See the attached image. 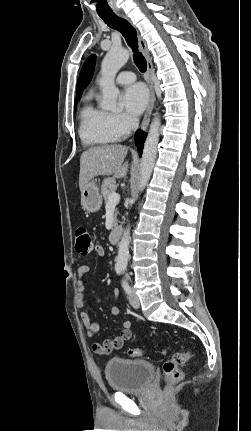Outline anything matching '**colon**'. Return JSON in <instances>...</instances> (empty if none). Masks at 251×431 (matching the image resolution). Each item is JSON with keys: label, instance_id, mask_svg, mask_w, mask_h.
I'll use <instances>...</instances> for the list:
<instances>
[{"label": "colon", "instance_id": "obj_1", "mask_svg": "<svg viewBox=\"0 0 251 431\" xmlns=\"http://www.w3.org/2000/svg\"><path fill=\"white\" fill-rule=\"evenodd\" d=\"M76 240V251L81 256L89 255L94 249V243L90 235L89 230L80 226L75 231ZM142 349L134 348L128 351L131 357L142 356ZM192 357L191 352H178L173 354V356L163 364V375L167 383V387L171 388L173 385L179 383L183 378V367L190 361Z\"/></svg>", "mask_w": 251, "mask_h": 431}]
</instances>
